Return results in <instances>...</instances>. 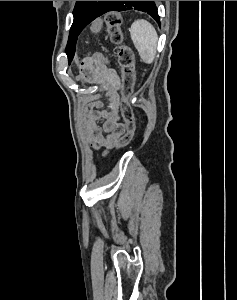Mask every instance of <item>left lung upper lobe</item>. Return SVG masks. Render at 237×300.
Instances as JSON below:
<instances>
[{
	"label": "left lung upper lobe",
	"instance_id": "1",
	"mask_svg": "<svg viewBox=\"0 0 237 300\" xmlns=\"http://www.w3.org/2000/svg\"><path fill=\"white\" fill-rule=\"evenodd\" d=\"M108 3L109 1H76L73 10L74 20L66 47L69 63L74 57L79 34L90 22L101 15V12ZM120 6H122L123 10L135 9L146 12L160 24L154 1H121Z\"/></svg>",
	"mask_w": 237,
	"mask_h": 300
}]
</instances>
